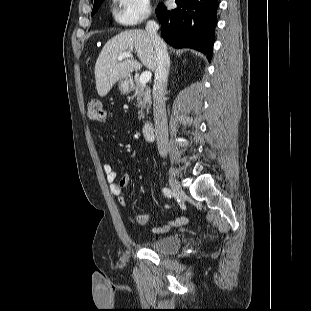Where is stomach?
<instances>
[{
	"mask_svg": "<svg viewBox=\"0 0 311 311\" xmlns=\"http://www.w3.org/2000/svg\"><path fill=\"white\" fill-rule=\"evenodd\" d=\"M118 88L121 94H128L132 90V79L128 76L118 82Z\"/></svg>",
	"mask_w": 311,
	"mask_h": 311,
	"instance_id": "obj_1",
	"label": "stomach"
}]
</instances>
